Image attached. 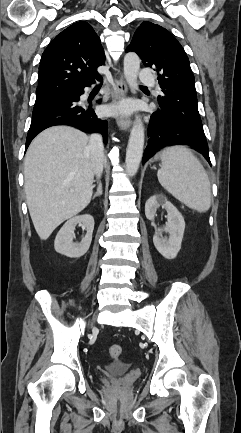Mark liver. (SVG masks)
<instances>
[{
    "instance_id": "liver-1",
    "label": "liver",
    "mask_w": 241,
    "mask_h": 433,
    "mask_svg": "<svg viewBox=\"0 0 241 433\" xmlns=\"http://www.w3.org/2000/svg\"><path fill=\"white\" fill-rule=\"evenodd\" d=\"M89 140L73 127L55 126L41 132L27 150L26 201L41 240L91 201L95 172Z\"/></svg>"
}]
</instances>
